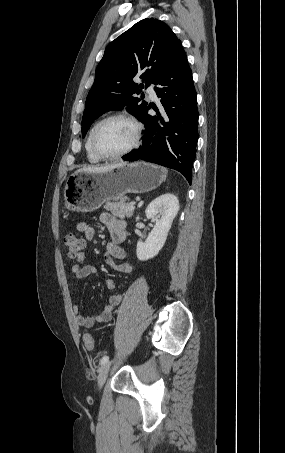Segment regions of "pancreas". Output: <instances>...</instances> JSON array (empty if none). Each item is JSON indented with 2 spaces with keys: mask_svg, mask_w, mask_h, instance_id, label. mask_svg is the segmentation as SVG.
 Listing matches in <instances>:
<instances>
[{
  "mask_svg": "<svg viewBox=\"0 0 285 453\" xmlns=\"http://www.w3.org/2000/svg\"><path fill=\"white\" fill-rule=\"evenodd\" d=\"M128 207L127 197L116 202H106L104 205V209L110 211L114 216L119 217L120 219L132 217L134 210H130Z\"/></svg>",
  "mask_w": 285,
  "mask_h": 453,
  "instance_id": "obj_1",
  "label": "pancreas"
}]
</instances>
